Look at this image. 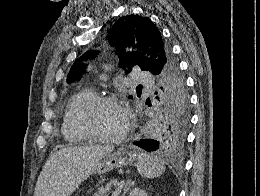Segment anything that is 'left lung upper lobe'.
Instances as JSON below:
<instances>
[{"label": "left lung upper lobe", "mask_w": 260, "mask_h": 196, "mask_svg": "<svg viewBox=\"0 0 260 196\" xmlns=\"http://www.w3.org/2000/svg\"><path fill=\"white\" fill-rule=\"evenodd\" d=\"M107 38L116 46L121 66L125 70L130 71L133 66H139L155 75L161 74L164 87H161V97H157V114L143 128L142 133L143 137L157 142V150L179 152L186 141L190 119L189 98L177 62L159 29L146 17L126 15L114 23ZM128 46L136 47L142 53L125 52L123 48ZM84 68L85 65L77 61L68 75V82L79 78Z\"/></svg>", "instance_id": "obj_1"}]
</instances>
